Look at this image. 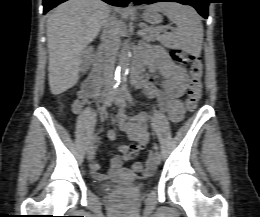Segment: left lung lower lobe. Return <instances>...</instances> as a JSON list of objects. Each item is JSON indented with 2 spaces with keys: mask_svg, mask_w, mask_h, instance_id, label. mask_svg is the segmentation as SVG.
Instances as JSON below:
<instances>
[{
  "mask_svg": "<svg viewBox=\"0 0 260 217\" xmlns=\"http://www.w3.org/2000/svg\"><path fill=\"white\" fill-rule=\"evenodd\" d=\"M135 4H152L156 2H179L185 5H191L197 9L199 14L204 18L208 17V4L211 3L210 0H131Z\"/></svg>",
  "mask_w": 260,
  "mask_h": 217,
  "instance_id": "obj_1",
  "label": "left lung lower lobe"
}]
</instances>
